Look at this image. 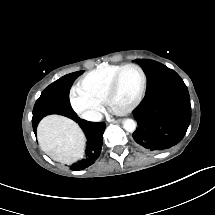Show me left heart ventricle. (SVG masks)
<instances>
[{"label":"left heart ventricle","mask_w":215,"mask_h":215,"mask_svg":"<svg viewBox=\"0 0 215 215\" xmlns=\"http://www.w3.org/2000/svg\"><path fill=\"white\" fill-rule=\"evenodd\" d=\"M118 74L120 87L115 93V102L118 105H125L131 101L134 95L138 83V75L133 69H124Z\"/></svg>","instance_id":"obj_1"}]
</instances>
